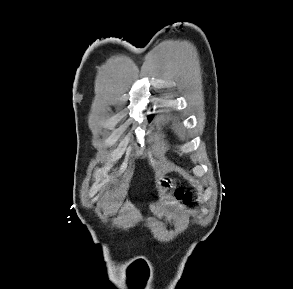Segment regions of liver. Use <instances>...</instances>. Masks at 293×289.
Returning <instances> with one entry per match:
<instances>
[{
	"instance_id": "liver-1",
	"label": "liver",
	"mask_w": 293,
	"mask_h": 289,
	"mask_svg": "<svg viewBox=\"0 0 293 289\" xmlns=\"http://www.w3.org/2000/svg\"><path fill=\"white\" fill-rule=\"evenodd\" d=\"M160 175V172H156V177H159Z\"/></svg>"
}]
</instances>
